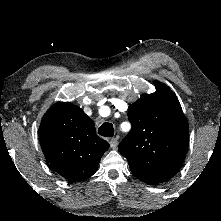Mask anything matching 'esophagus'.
<instances>
[{"label": "esophagus", "mask_w": 221, "mask_h": 221, "mask_svg": "<svg viewBox=\"0 0 221 221\" xmlns=\"http://www.w3.org/2000/svg\"><path fill=\"white\" fill-rule=\"evenodd\" d=\"M109 143H110V147H111L112 149H116L117 146H118V140H117V138H112Z\"/></svg>", "instance_id": "obj_1"}]
</instances>
